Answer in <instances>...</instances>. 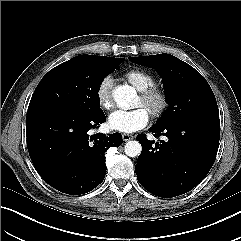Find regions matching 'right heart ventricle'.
Listing matches in <instances>:
<instances>
[{"mask_svg":"<svg viewBox=\"0 0 241 241\" xmlns=\"http://www.w3.org/2000/svg\"><path fill=\"white\" fill-rule=\"evenodd\" d=\"M124 78L138 91L145 90L148 87L155 85V77L148 71L143 69H130L124 73Z\"/></svg>","mask_w":241,"mask_h":241,"instance_id":"obj_1","label":"right heart ventricle"}]
</instances>
